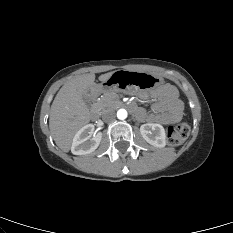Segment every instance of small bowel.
Segmentation results:
<instances>
[{"label": "small bowel", "instance_id": "1", "mask_svg": "<svg viewBox=\"0 0 233 233\" xmlns=\"http://www.w3.org/2000/svg\"><path fill=\"white\" fill-rule=\"evenodd\" d=\"M150 95L155 100L153 105L154 113L146 114L144 110L139 109L136 112L139 119L168 124L174 123L181 118L183 104L178 98L177 90L173 86L169 84L164 85L153 90ZM139 97L146 99L148 94L142 91L139 93Z\"/></svg>", "mask_w": 233, "mask_h": 233}]
</instances>
